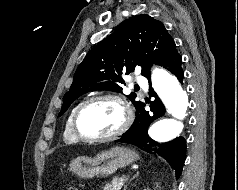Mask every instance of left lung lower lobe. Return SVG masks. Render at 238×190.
I'll return each instance as SVG.
<instances>
[{
	"instance_id": "0a47b994",
	"label": "left lung lower lobe",
	"mask_w": 238,
	"mask_h": 190,
	"mask_svg": "<svg viewBox=\"0 0 238 190\" xmlns=\"http://www.w3.org/2000/svg\"><path fill=\"white\" fill-rule=\"evenodd\" d=\"M181 63L182 57L175 51L161 66L174 74L182 83L184 72ZM152 96L155 100L150 103V111L145 110V103H140L136 107L134 123L117 141L135 145L148 153L158 154L169 162L179 177L185 161L186 142L183 137H178L169 142L159 143L149 137L147 131L149 125L165 114V107L154 91Z\"/></svg>"
}]
</instances>
